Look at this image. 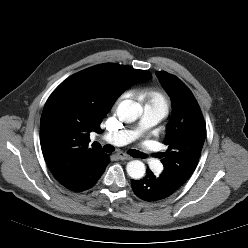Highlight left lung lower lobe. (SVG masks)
I'll list each match as a JSON object with an SVG mask.
<instances>
[{"label":"left lung lower lobe","mask_w":248,"mask_h":248,"mask_svg":"<svg viewBox=\"0 0 248 248\" xmlns=\"http://www.w3.org/2000/svg\"><path fill=\"white\" fill-rule=\"evenodd\" d=\"M146 173L141 180H131L132 189L140 199L154 202L166 199L176 192L160 176L156 177L149 169Z\"/></svg>","instance_id":"left-lung-lower-lobe-1"}]
</instances>
